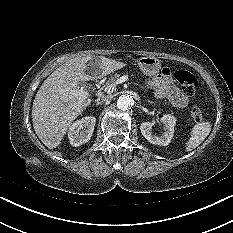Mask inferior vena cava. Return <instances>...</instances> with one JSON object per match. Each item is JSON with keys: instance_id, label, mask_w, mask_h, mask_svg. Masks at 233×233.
I'll use <instances>...</instances> for the list:
<instances>
[{"instance_id": "602c4592", "label": "inferior vena cava", "mask_w": 233, "mask_h": 233, "mask_svg": "<svg viewBox=\"0 0 233 233\" xmlns=\"http://www.w3.org/2000/svg\"><path fill=\"white\" fill-rule=\"evenodd\" d=\"M109 99H110V97L109 96H99L96 100H95V102H96V105H101V104H103V103H105V102H108L109 101Z\"/></svg>"}]
</instances>
